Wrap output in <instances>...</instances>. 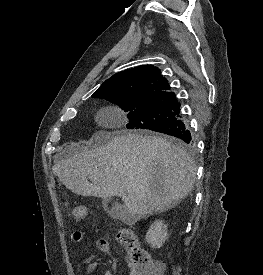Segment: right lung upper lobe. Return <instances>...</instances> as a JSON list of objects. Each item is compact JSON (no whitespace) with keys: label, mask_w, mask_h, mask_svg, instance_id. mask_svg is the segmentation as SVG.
<instances>
[{"label":"right lung upper lobe","mask_w":263,"mask_h":275,"mask_svg":"<svg viewBox=\"0 0 263 275\" xmlns=\"http://www.w3.org/2000/svg\"><path fill=\"white\" fill-rule=\"evenodd\" d=\"M169 90L170 85L158 68L142 65L113 75L94 94L124 91L135 96H175Z\"/></svg>","instance_id":"1"}]
</instances>
